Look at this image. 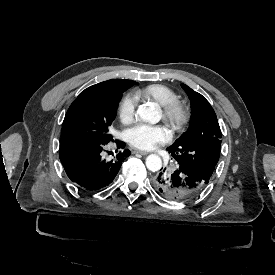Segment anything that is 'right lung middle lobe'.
I'll list each match as a JSON object with an SVG mask.
<instances>
[{"instance_id": "right-lung-middle-lobe-1", "label": "right lung middle lobe", "mask_w": 275, "mask_h": 275, "mask_svg": "<svg viewBox=\"0 0 275 275\" xmlns=\"http://www.w3.org/2000/svg\"><path fill=\"white\" fill-rule=\"evenodd\" d=\"M126 89L80 94L65 115L61 138L83 136L106 143L112 141L109 129Z\"/></svg>"}]
</instances>
